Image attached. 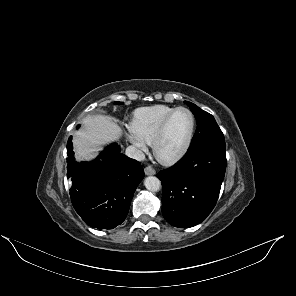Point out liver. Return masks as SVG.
<instances>
[{"label": "liver", "mask_w": 296, "mask_h": 296, "mask_svg": "<svg viewBox=\"0 0 296 296\" xmlns=\"http://www.w3.org/2000/svg\"><path fill=\"white\" fill-rule=\"evenodd\" d=\"M120 136V127L112 120L96 115L83 120L82 128L74 133V151L79 160H91L101 147Z\"/></svg>", "instance_id": "obj_1"}]
</instances>
